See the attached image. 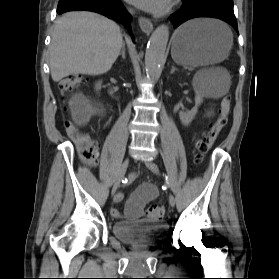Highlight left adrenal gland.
Masks as SVG:
<instances>
[{
	"label": "left adrenal gland",
	"instance_id": "obj_1",
	"mask_svg": "<svg viewBox=\"0 0 279 279\" xmlns=\"http://www.w3.org/2000/svg\"><path fill=\"white\" fill-rule=\"evenodd\" d=\"M176 70V67L173 65L170 73L173 74Z\"/></svg>",
	"mask_w": 279,
	"mask_h": 279
}]
</instances>
